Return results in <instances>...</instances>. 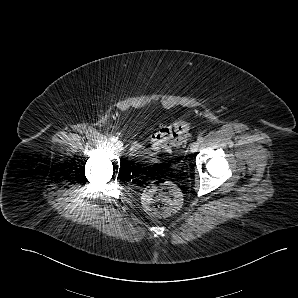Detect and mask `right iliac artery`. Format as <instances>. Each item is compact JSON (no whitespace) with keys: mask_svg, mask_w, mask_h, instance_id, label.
I'll return each mask as SVG.
<instances>
[{"mask_svg":"<svg viewBox=\"0 0 298 298\" xmlns=\"http://www.w3.org/2000/svg\"><path fill=\"white\" fill-rule=\"evenodd\" d=\"M110 140H111L112 142H116V141H117V138L114 137V136H112V137L110 138Z\"/></svg>","mask_w":298,"mask_h":298,"instance_id":"obj_1","label":"right iliac artery"}]
</instances>
